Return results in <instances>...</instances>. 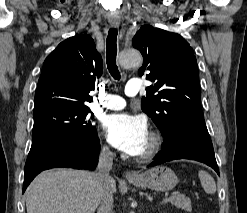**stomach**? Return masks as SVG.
Instances as JSON below:
<instances>
[{"instance_id":"0dacf381","label":"stomach","mask_w":247,"mask_h":213,"mask_svg":"<svg viewBox=\"0 0 247 213\" xmlns=\"http://www.w3.org/2000/svg\"><path fill=\"white\" fill-rule=\"evenodd\" d=\"M129 182L135 186L156 191H168L174 188L178 179L175 173L166 166H157L140 174L137 179Z\"/></svg>"}]
</instances>
